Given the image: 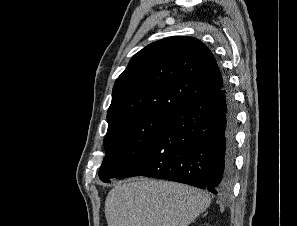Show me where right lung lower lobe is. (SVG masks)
I'll list each match as a JSON object with an SVG mask.
<instances>
[{"label":"right lung lower lobe","mask_w":297,"mask_h":226,"mask_svg":"<svg viewBox=\"0 0 297 226\" xmlns=\"http://www.w3.org/2000/svg\"><path fill=\"white\" fill-rule=\"evenodd\" d=\"M236 107L229 84L177 107L165 127L116 178L146 176L227 192L234 174Z\"/></svg>","instance_id":"98d812e1"}]
</instances>
